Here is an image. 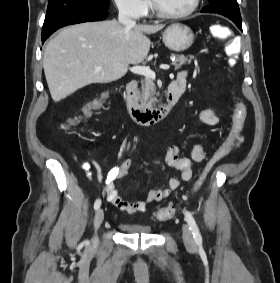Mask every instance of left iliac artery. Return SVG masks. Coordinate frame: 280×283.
<instances>
[{
	"label": "left iliac artery",
	"instance_id": "obj_1",
	"mask_svg": "<svg viewBox=\"0 0 280 283\" xmlns=\"http://www.w3.org/2000/svg\"><path fill=\"white\" fill-rule=\"evenodd\" d=\"M185 219L189 225L190 230L192 231L193 237L197 244L202 243V237L199 231V228L196 224L195 219L189 211H185Z\"/></svg>",
	"mask_w": 280,
	"mask_h": 283
}]
</instances>
